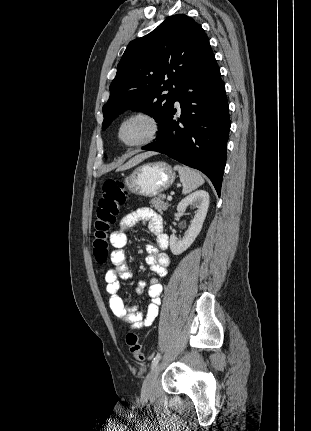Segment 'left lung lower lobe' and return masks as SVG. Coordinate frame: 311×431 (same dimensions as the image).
Segmentation results:
<instances>
[{
    "mask_svg": "<svg viewBox=\"0 0 311 431\" xmlns=\"http://www.w3.org/2000/svg\"><path fill=\"white\" fill-rule=\"evenodd\" d=\"M180 102V118L173 119ZM159 128L156 142L143 150L157 151L202 171L220 196L226 163L230 118L225 86L211 49L183 80Z\"/></svg>",
    "mask_w": 311,
    "mask_h": 431,
    "instance_id": "left-lung-lower-lobe-1",
    "label": "left lung lower lobe"
}]
</instances>
